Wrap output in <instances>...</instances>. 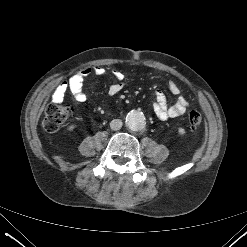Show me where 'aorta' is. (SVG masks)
<instances>
[{"label":"aorta","mask_w":247,"mask_h":247,"mask_svg":"<svg viewBox=\"0 0 247 247\" xmlns=\"http://www.w3.org/2000/svg\"><path fill=\"white\" fill-rule=\"evenodd\" d=\"M126 125L134 131L143 129L145 125L143 113L137 110L130 111L126 116Z\"/></svg>","instance_id":"aorta-1"}]
</instances>
